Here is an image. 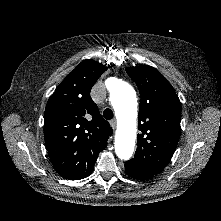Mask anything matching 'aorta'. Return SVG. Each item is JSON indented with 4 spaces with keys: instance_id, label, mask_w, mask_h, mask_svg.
<instances>
[{
    "instance_id": "obj_1",
    "label": "aorta",
    "mask_w": 221,
    "mask_h": 221,
    "mask_svg": "<svg viewBox=\"0 0 221 221\" xmlns=\"http://www.w3.org/2000/svg\"><path fill=\"white\" fill-rule=\"evenodd\" d=\"M110 101L121 125L115 137V152L123 160H128L133 154L136 139L137 98L135 90L125 82L118 83L110 93Z\"/></svg>"
}]
</instances>
